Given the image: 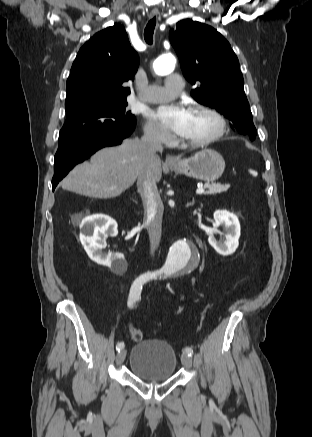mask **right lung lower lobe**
Returning <instances> with one entry per match:
<instances>
[{"instance_id":"right-lung-lower-lobe-1","label":"right lung lower lobe","mask_w":312,"mask_h":437,"mask_svg":"<svg viewBox=\"0 0 312 437\" xmlns=\"http://www.w3.org/2000/svg\"><path fill=\"white\" fill-rule=\"evenodd\" d=\"M135 126L107 134L96 135L80 140L67 147L58 148L54 160V176L52 179L53 190L59 181L78 163L89 158L102 147L121 144L127 138Z\"/></svg>"}]
</instances>
